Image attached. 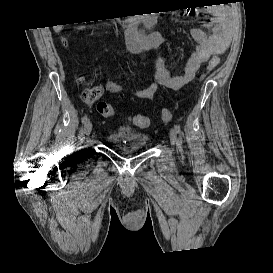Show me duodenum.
I'll list each match as a JSON object with an SVG mask.
<instances>
[{
  "instance_id": "duodenum-1",
  "label": "duodenum",
  "mask_w": 273,
  "mask_h": 273,
  "mask_svg": "<svg viewBox=\"0 0 273 273\" xmlns=\"http://www.w3.org/2000/svg\"><path fill=\"white\" fill-rule=\"evenodd\" d=\"M140 23L144 27L152 26L157 23V17L155 14H143L138 17H128L125 20V24L130 28L136 29V24ZM136 38L140 39L139 36L135 35Z\"/></svg>"
}]
</instances>
